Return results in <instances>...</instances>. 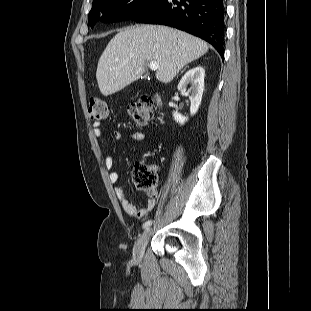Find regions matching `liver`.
<instances>
[{
	"label": "liver",
	"mask_w": 311,
	"mask_h": 311,
	"mask_svg": "<svg viewBox=\"0 0 311 311\" xmlns=\"http://www.w3.org/2000/svg\"><path fill=\"white\" fill-rule=\"evenodd\" d=\"M208 49L202 39L170 27H127L110 40L98 61L96 79L100 92L108 96L138 80L146 61L157 62L156 79L169 83Z\"/></svg>",
	"instance_id": "obj_1"
}]
</instances>
